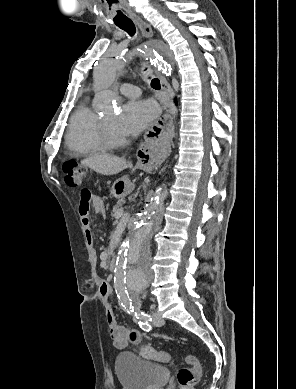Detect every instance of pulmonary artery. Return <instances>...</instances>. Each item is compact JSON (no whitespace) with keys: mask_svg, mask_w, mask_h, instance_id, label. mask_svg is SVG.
Masks as SVG:
<instances>
[{"mask_svg":"<svg viewBox=\"0 0 296 389\" xmlns=\"http://www.w3.org/2000/svg\"><path fill=\"white\" fill-rule=\"evenodd\" d=\"M118 89L125 96L137 97L140 95V89L130 83L120 84Z\"/></svg>","mask_w":296,"mask_h":389,"instance_id":"e3ab8cb5","label":"pulmonary artery"}]
</instances>
